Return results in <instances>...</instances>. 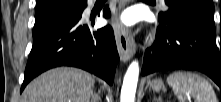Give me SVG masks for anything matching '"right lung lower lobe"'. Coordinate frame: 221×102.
Here are the masks:
<instances>
[{
  "mask_svg": "<svg viewBox=\"0 0 221 102\" xmlns=\"http://www.w3.org/2000/svg\"><path fill=\"white\" fill-rule=\"evenodd\" d=\"M86 5L87 1H84L75 16L62 19L33 36L21 92L37 75L58 66L82 68L112 85L119 59L114 32L110 26L90 30L81 21ZM103 16L110 17L108 6L104 8Z\"/></svg>",
  "mask_w": 221,
  "mask_h": 102,
  "instance_id": "right-lung-lower-lobe-1",
  "label": "right lung lower lobe"
}]
</instances>
